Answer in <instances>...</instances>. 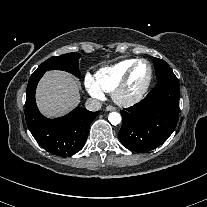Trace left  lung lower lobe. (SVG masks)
Segmentation results:
<instances>
[{
	"mask_svg": "<svg viewBox=\"0 0 207 207\" xmlns=\"http://www.w3.org/2000/svg\"><path fill=\"white\" fill-rule=\"evenodd\" d=\"M178 79L162 81L139 103L121 111L119 139L129 150L145 153L174 131L179 117Z\"/></svg>",
	"mask_w": 207,
	"mask_h": 207,
	"instance_id": "1",
	"label": "left lung lower lobe"
}]
</instances>
